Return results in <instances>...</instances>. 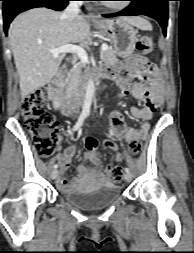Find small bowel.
Masks as SVG:
<instances>
[{
    "instance_id": "c3829d8e",
    "label": "small bowel",
    "mask_w": 194,
    "mask_h": 253,
    "mask_svg": "<svg viewBox=\"0 0 194 253\" xmlns=\"http://www.w3.org/2000/svg\"><path fill=\"white\" fill-rule=\"evenodd\" d=\"M157 66L152 60H147L144 56H132L124 60L112 68H102L100 74L103 77H108L114 80L120 88L118 94L122 98L131 94L138 100L144 102L143 107L133 106L131 114L135 118L142 120V124L138 129L128 127L119 111H113L110 115L109 139L103 141V146L114 152V160L120 161L122 154L119 151L118 144L112 137L117 140H125L130 143L134 140H145L150 129V120L154 110L159 107L164 100V87L161 81L154 77V71H157ZM137 78L139 81L132 83L131 79ZM96 143V142H95ZM76 153V147L69 145L63 153L56 158L60 166L57 185L60 190L68 192L72 189L73 184L79 181L78 178L70 182L64 175L69 168L71 160ZM90 160L92 167L89 168L85 161ZM113 166L109 165L105 169L102 168L99 160L93 159V151H88L83 156V162L78 166L80 175L92 174L95 178L102 182H108L111 178Z\"/></svg>"
}]
</instances>
